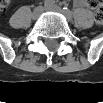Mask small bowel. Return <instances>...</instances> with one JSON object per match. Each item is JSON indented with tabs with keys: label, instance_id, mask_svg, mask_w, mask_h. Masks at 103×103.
<instances>
[{
	"label": "small bowel",
	"instance_id": "c3829d8e",
	"mask_svg": "<svg viewBox=\"0 0 103 103\" xmlns=\"http://www.w3.org/2000/svg\"><path fill=\"white\" fill-rule=\"evenodd\" d=\"M74 5L76 7H87L88 6L87 2L84 0H76L74 1Z\"/></svg>",
	"mask_w": 103,
	"mask_h": 103
}]
</instances>
